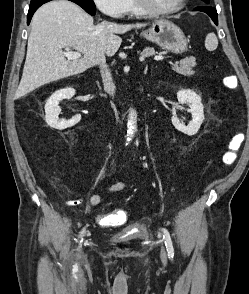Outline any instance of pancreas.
I'll return each mask as SVG.
<instances>
[{
    "mask_svg": "<svg viewBox=\"0 0 249 294\" xmlns=\"http://www.w3.org/2000/svg\"><path fill=\"white\" fill-rule=\"evenodd\" d=\"M154 53L155 50L153 48L147 47L143 50L142 55L147 56ZM171 65L172 70L176 73L184 76H190L194 74V71L192 69L196 66V60L193 57H189L182 59L179 63H171Z\"/></svg>",
    "mask_w": 249,
    "mask_h": 294,
    "instance_id": "pancreas-1",
    "label": "pancreas"
}]
</instances>
